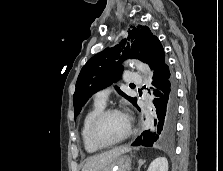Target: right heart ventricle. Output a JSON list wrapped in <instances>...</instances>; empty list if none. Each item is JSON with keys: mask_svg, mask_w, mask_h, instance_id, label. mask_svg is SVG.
I'll return each instance as SVG.
<instances>
[{"mask_svg": "<svg viewBox=\"0 0 223 171\" xmlns=\"http://www.w3.org/2000/svg\"><path fill=\"white\" fill-rule=\"evenodd\" d=\"M105 105L95 102L92 107L87 111V113L85 114L83 121H82V125H81V139H82V143L83 146L85 148V150L88 153H97L98 151L101 150V148L97 147L96 145H94L92 143V141L90 140L89 137V126L91 124V121L93 120V118L104 109Z\"/></svg>", "mask_w": 223, "mask_h": 171, "instance_id": "obj_1", "label": "right heart ventricle"}]
</instances>
